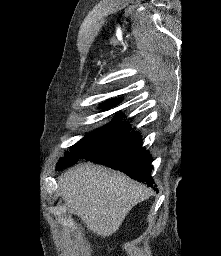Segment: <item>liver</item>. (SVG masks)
Returning a JSON list of instances; mask_svg holds the SVG:
<instances>
[{"label":"liver","mask_w":221,"mask_h":256,"mask_svg":"<svg viewBox=\"0 0 221 256\" xmlns=\"http://www.w3.org/2000/svg\"><path fill=\"white\" fill-rule=\"evenodd\" d=\"M58 189L69 211L101 237L115 233L132 207L151 194L125 174L91 163L68 169Z\"/></svg>","instance_id":"1"}]
</instances>
